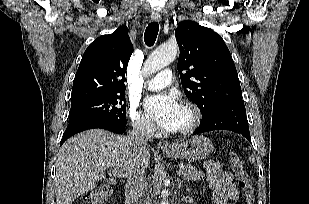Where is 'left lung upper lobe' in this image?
I'll return each instance as SVG.
<instances>
[{
    "label": "left lung upper lobe",
    "mask_w": 309,
    "mask_h": 204,
    "mask_svg": "<svg viewBox=\"0 0 309 204\" xmlns=\"http://www.w3.org/2000/svg\"><path fill=\"white\" fill-rule=\"evenodd\" d=\"M175 35L184 92L202 115L220 105L242 102L234 61L220 35L194 21H183Z\"/></svg>",
    "instance_id": "left-lung-upper-lobe-1"
}]
</instances>
